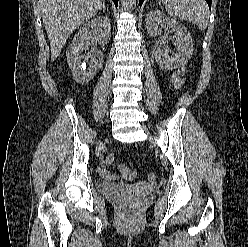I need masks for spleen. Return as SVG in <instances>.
I'll return each mask as SVG.
<instances>
[{
	"label": "spleen",
	"instance_id": "obj_1",
	"mask_svg": "<svg viewBox=\"0 0 248 247\" xmlns=\"http://www.w3.org/2000/svg\"><path fill=\"white\" fill-rule=\"evenodd\" d=\"M170 16L197 24L200 30L208 25V6L205 0H161Z\"/></svg>",
	"mask_w": 248,
	"mask_h": 247
}]
</instances>
